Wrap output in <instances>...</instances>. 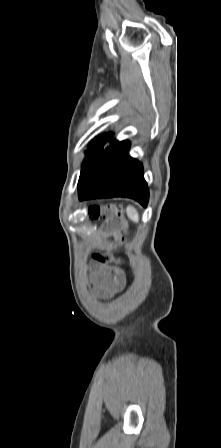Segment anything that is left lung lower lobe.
Returning a JSON list of instances; mask_svg holds the SVG:
<instances>
[{"mask_svg": "<svg viewBox=\"0 0 221 448\" xmlns=\"http://www.w3.org/2000/svg\"><path fill=\"white\" fill-rule=\"evenodd\" d=\"M129 142L107 151L97 162L81 170L79 199L128 197L147 206L149 193L143 166L129 156Z\"/></svg>", "mask_w": 221, "mask_h": 448, "instance_id": "obj_1", "label": "left lung lower lobe"}]
</instances>
